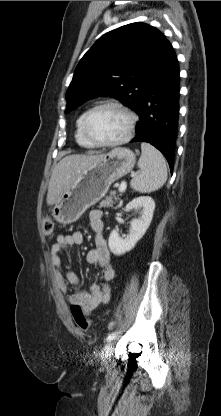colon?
Masks as SVG:
<instances>
[{"label": "colon", "mask_w": 221, "mask_h": 416, "mask_svg": "<svg viewBox=\"0 0 221 416\" xmlns=\"http://www.w3.org/2000/svg\"><path fill=\"white\" fill-rule=\"evenodd\" d=\"M53 230H54V223L52 219L46 218L43 221V231L45 235L50 236L53 233ZM71 314L75 320V323L81 330L87 331L90 328V322L78 304H73L71 306Z\"/></svg>", "instance_id": "colon-1"}]
</instances>
